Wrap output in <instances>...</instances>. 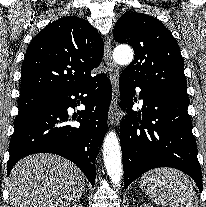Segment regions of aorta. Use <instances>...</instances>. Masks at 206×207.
Masks as SVG:
<instances>
[{
  "label": "aorta",
  "mask_w": 206,
  "mask_h": 207,
  "mask_svg": "<svg viewBox=\"0 0 206 207\" xmlns=\"http://www.w3.org/2000/svg\"><path fill=\"white\" fill-rule=\"evenodd\" d=\"M113 59L120 65L133 60V51L129 46H118L113 51ZM103 158L107 174L115 186H120L122 178L121 149L115 132L107 133L103 142Z\"/></svg>",
  "instance_id": "obj_1"
}]
</instances>
